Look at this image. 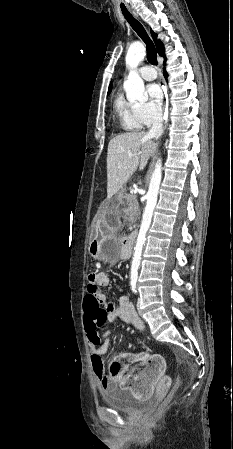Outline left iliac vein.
I'll use <instances>...</instances> for the list:
<instances>
[{
    "mask_svg": "<svg viewBox=\"0 0 233 449\" xmlns=\"http://www.w3.org/2000/svg\"><path fill=\"white\" fill-rule=\"evenodd\" d=\"M140 305V298H138L137 307Z\"/></svg>",
    "mask_w": 233,
    "mask_h": 449,
    "instance_id": "obj_1",
    "label": "left iliac vein"
}]
</instances>
